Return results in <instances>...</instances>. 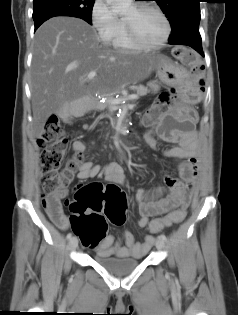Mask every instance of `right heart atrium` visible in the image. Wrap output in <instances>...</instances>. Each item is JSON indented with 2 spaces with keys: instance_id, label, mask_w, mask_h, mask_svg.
Here are the masks:
<instances>
[{
  "instance_id": "1",
  "label": "right heart atrium",
  "mask_w": 238,
  "mask_h": 315,
  "mask_svg": "<svg viewBox=\"0 0 238 315\" xmlns=\"http://www.w3.org/2000/svg\"><path fill=\"white\" fill-rule=\"evenodd\" d=\"M90 21L98 36L109 41L119 26V19L106 0H94L90 8Z\"/></svg>"
}]
</instances>
